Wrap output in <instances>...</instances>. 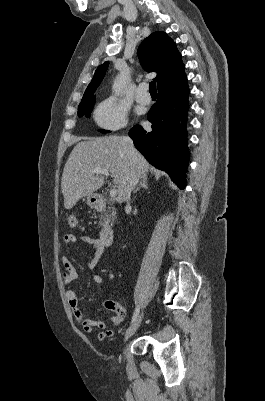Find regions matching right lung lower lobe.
<instances>
[{"instance_id":"98d812e1","label":"right lung lower lobe","mask_w":265,"mask_h":401,"mask_svg":"<svg viewBox=\"0 0 265 401\" xmlns=\"http://www.w3.org/2000/svg\"><path fill=\"white\" fill-rule=\"evenodd\" d=\"M188 94L187 79L175 88L158 91V100L147 115L152 131L136 125L129 132L135 147L148 162L167 172L180 189L186 185L189 160L185 130Z\"/></svg>"}]
</instances>
